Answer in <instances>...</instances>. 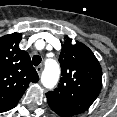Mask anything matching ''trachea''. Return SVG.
I'll use <instances>...</instances> for the list:
<instances>
[{
  "label": "trachea",
  "instance_id": "trachea-1",
  "mask_svg": "<svg viewBox=\"0 0 117 117\" xmlns=\"http://www.w3.org/2000/svg\"><path fill=\"white\" fill-rule=\"evenodd\" d=\"M42 59L39 55H34L32 58V62L34 66H38L41 63Z\"/></svg>",
  "mask_w": 117,
  "mask_h": 117
}]
</instances>
